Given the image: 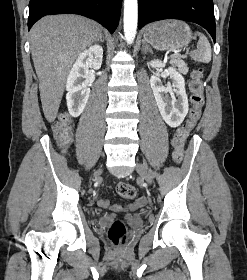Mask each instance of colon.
<instances>
[{
    "label": "colon",
    "mask_w": 247,
    "mask_h": 280,
    "mask_svg": "<svg viewBox=\"0 0 247 280\" xmlns=\"http://www.w3.org/2000/svg\"><path fill=\"white\" fill-rule=\"evenodd\" d=\"M189 89L191 92V109L188 119L183 126L177 129L171 141L173 150L172 156L176 163H181L184 158L185 142L199 121L205 103L203 73L200 69L192 73ZM54 136L57 143L63 148L72 143V120L68 113L63 112L59 115L54 125ZM117 193L122 198L133 199L137 191L131 184L119 183L117 186ZM100 203L103 205L104 201L102 200ZM108 238L114 245H122L125 243L127 239V229L121 220L117 219L111 224L108 229Z\"/></svg>",
    "instance_id": "1"
}]
</instances>
